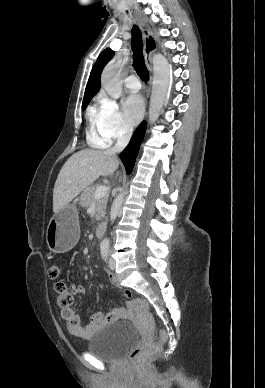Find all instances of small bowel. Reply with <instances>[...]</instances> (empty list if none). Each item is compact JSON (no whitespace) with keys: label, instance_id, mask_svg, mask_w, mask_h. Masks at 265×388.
Segmentation results:
<instances>
[{"label":"small bowel","instance_id":"obj_1","mask_svg":"<svg viewBox=\"0 0 265 388\" xmlns=\"http://www.w3.org/2000/svg\"><path fill=\"white\" fill-rule=\"evenodd\" d=\"M108 281L113 287H119V284L113 274H108ZM70 288L73 294L81 295L85 291L84 287L79 284H72ZM122 316L123 312L120 310H116L108 314L97 312L90 317L88 323L84 324L74 309L67 308L62 309L61 311V317L66 322L68 331L82 339L91 338L103 326L119 319Z\"/></svg>","mask_w":265,"mask_h":388}]
</instances>
